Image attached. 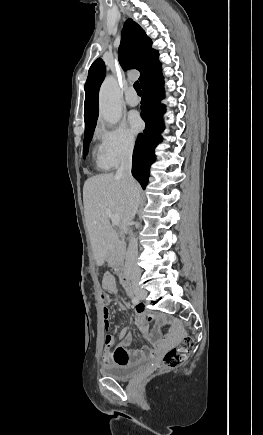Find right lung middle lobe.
Returning a JSON list of instances; mask_svg holds the SVG:
<instances>
[{
  "label": "right lung middle lobe",
  "mask_w": 263,
  "mask_h": 435,
  "mask_svg": "<svg viewBox=\"0 0 263 435\" xmlns=\"http://www.w3.org/2000/svg\"><path fill=\"white\" fill-rule=\"evenodd\" d=\"M94 129H95V126L85 130V132H84V146H83V154H84V156L88 152L89 143H90V141L92 139Z\"/></svg>",
  "instance_id": "dd1d6c3e"
}]
</instances>
